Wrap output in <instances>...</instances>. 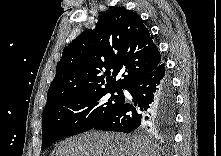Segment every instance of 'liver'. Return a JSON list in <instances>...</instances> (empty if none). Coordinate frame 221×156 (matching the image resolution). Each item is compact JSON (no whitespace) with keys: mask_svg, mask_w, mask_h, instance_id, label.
Segmentation results:
<instances>
[{"mask_svg":"<svg viewBox=\"0 0 221 156\" xmlns=\"http://www.w3.org/2000/svg\"><path fill=\"white\" fill-rule=\"evenodd\" d=\"M159 146L135 135L90 132L63 141L55 156H159Z\"/></svg>","mask_w":221,"mask_h":156,"instance_id":"1","label":"liver"}]
</instances>
